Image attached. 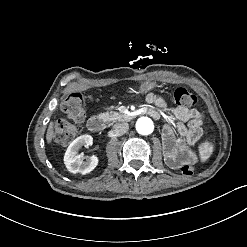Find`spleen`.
<instances>
[{
	"label": "spleen",
	"instance_id": "1",
	"mask_svg": "<svg viewBox=\"0 0 247 247\" xmlns=\"http://www.w3.org/2000/svg\"><path fill=\"white\" fill-rule=\"evenodd\" d=\"M211 145H208V147H210ZM199 159L201 163H206L207 160L209 159V150L208 149H204L202 151H200L199 153Z\"/></svg>",
	"mask_w": 247,
	"mask_h": 247
}]
</instances>
